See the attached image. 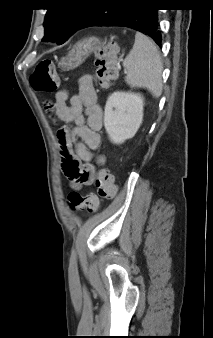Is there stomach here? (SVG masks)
Returning <instances> with one entry per match:
<instances>
[{"label": "stomach", "instance_id": "0dacf381", "mask_svg": "<svg viewBox=\"0 0 213 338\" xmlns=\"http://www.w3.org/2000/svg\"><path fill=\"white\" fill-rule=\"evenodd\" d=\"M98 40L96 38H87L74 45L69 54L61 59L60 67L64 71H69L80 66L96 49Z\"/></svg>", "mask_w": 213, "mask_h": 338}]
</instances>
